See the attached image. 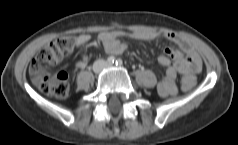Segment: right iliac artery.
Here are the masks:
<instances>
[{"mask_svg":"<svg viewBox=\"0 0 238 145\" xmlns=\"http://www.w3.org/2000/svg\"><path fill=\"white\" fill-rule=\"evenodd\" d=\"M115 61H116V59H115L114 56H109V57L107 58V62H108L109 64H114Z\"/></svg>","mask_w":238,"mask_h":145,"instance_id":"82829eb1","label":"right iliac artery"}]
</instances>
